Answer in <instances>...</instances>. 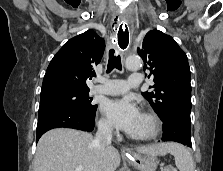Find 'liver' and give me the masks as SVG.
Returning a JSON list of instances; mask_svg holds the SVG:
<instances>
[{"label": "liver", "instance_id": "1", "mask_svg": "<svg viewBox=\"0 0 223 171\" xmlns=\"http://www.w3.org/2000/svg\"><path fill=\"white\" fill-rule=\"evenodd\" d=\"M171 143H160L137 148V151L155 156L171 152ZM33 171H115L120 165L119 152L113 146L99 149L92 134L56 128L46 132L37 144Z\"/></svg>", "mask_w": 223, "mask_h": 171}]
</instances>
